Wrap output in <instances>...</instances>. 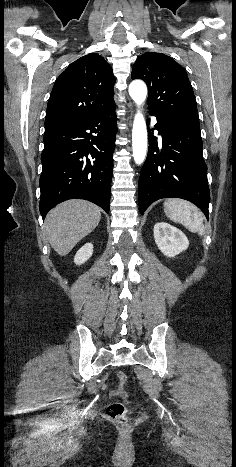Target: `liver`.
<instances>
[{
	"label": "liver",
	"instance_id": "obj_1",
	"mask_svg": "<svg viewBox=\"0 0 236 467\" xmlns=\"http://www.w3.org/2000/svg\"><path fill=\"white\" fill-rule=\"evenodd\" d=\"M100 208L85 200H68L46 216L44 230L52 248L66 256L75 245L99 224Z\"/></svg>",
	"mask_w": 236,
	"mask_h": 467
}]
</instances>
